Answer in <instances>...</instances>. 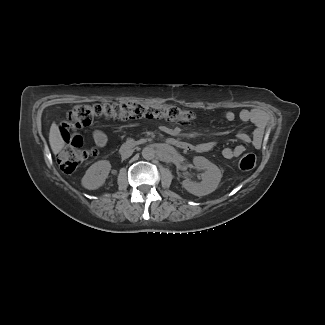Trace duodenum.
<instances>
[{
    "mask_svg": "<svg viewBox=\"0 0 325 325\" xmlns=\"http://www.w3.org/2000/svg\"><path fill=\"white\" fill-rule=\"evenodd\" d=\"M166 143L172 147L180 148L184 150H187L191 147V145L188 142L173 137L167 138ZM132 147H133V143L128 141L122 145L121 149L123 152H126L130 150Z\"/></svg>",
    "mask_w": 325,
    "mask_h": 325,
    "instance_id": "obj_1",
    "label": "duodenum"
}]
</instances>
